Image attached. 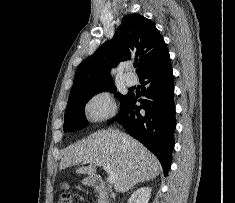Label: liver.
I'll return each instance as SVG.
<instances>
[{
  "label": "liver",
  "instance_id": "obj_1",
  "mask_svg": "<svg viewBox=\"0 0 235 203\" xmlns=\"http://www.w3.org/2000/svg\"><path fill=\"white\" fill-rule=\"evenodd\" d=\"M79 163L89 166L77 169L78 173L93 176L99 166H110L117 174L116 192H125L135 184L151 180L161 172L157 158L140 142L117 130H101L68 147L59 168Z\"/></svg>",
  "mask_w": 235,
  "mask_h": 203
}]
</instances>
